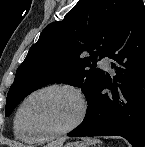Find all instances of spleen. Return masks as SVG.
Listing matches in <instances>:
<instances>
[{"label": "spleen", "mask_w": 145, "mask_h": 147, "mask_svg": "<svg viewBox=\"0 0 145 147\" xmlns=\"http://www.w3.org/2000/svg\"><path fill=\"white\" fill-rule=\"evenodd\" d=\"M84 140L89 144H95V143L99 142L98 140L91 139V138H85Z\"/></svg>", "instance_id": "1"}]
</instances>
